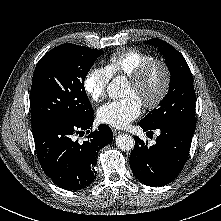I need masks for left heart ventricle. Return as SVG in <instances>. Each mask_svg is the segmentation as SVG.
<instances>
[{"label": "left heart ventricle", "instance_id": "left-heart-ventricle-1", "mask_svg": "<svg viewBox=\"0 0 221 221\" xmlns=\"http://www.w3.org/2000/svg\"><path fill=\"white\" fill-rule=\"evenodd\" d=\"M163 81V70L158 66L154 67L140 86H134L129 82L122 96H134L141 104L151 101L160 92Z\"/></svg>", "mask_w": 221, "mask_h": 221}]
</instances>
